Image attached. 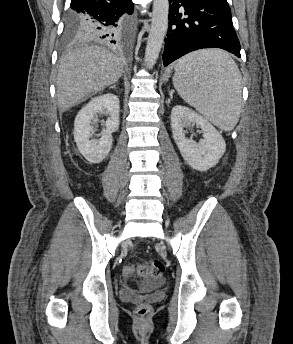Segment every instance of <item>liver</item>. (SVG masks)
<instances>
[{
	"mask_svg": "<svg viewBox=\"0 0 293 344\" xmlns=\"http://www.w3.org/2000/svg\"><path fill=\"white\" fill-rule=\"evenodd\" d=\"M123 73L121 60L99 46L70 51L60 62L56 88L58 105L63 111L83 97L116 83Z\"/></svg>",
	"mask_w": 293,
	"mask_h": 344,
	"instance_id": "6515ba94",
	"label": "liver"
}]
</instances>
